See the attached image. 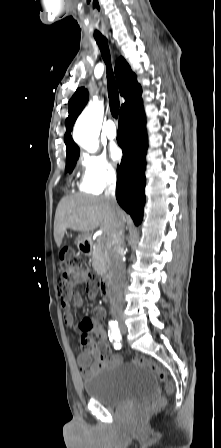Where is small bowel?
<instances>
[{
	"mask_svg": "<svg viewBox=\"0 0 221 448\" xmlns=\"http://www.w3.org/2000/svg\"><path fill=\"white\" fill-rule=\"evenodd\" d=\"M86 275L81 274L80 280H85ZM61 306L64 310L65 323L70 326H75V318L71 310V304L77 306L83 304V298L79 291H72L68 289L63 293ZM105 315V310L101 306H97L92 310V314L84 320V323L91 325L90 329H85L80 333V344L82 352L77 356V364L83 376L96 371L110 360L119 361L121 357L111 353L108 338L104 327L99 322V318ZM92 330L96 341L93 340L89 334Z\"/></svg>",
	"mask_w": 221,
	"mask_h": 448,
	"instance_id": "small-bowel-1",
	"label": "small bowel"
}]
</instances>
